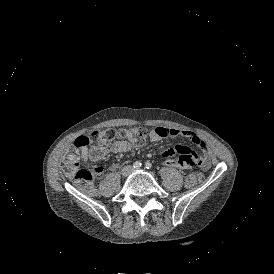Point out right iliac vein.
Segmentation results:
<instances>
[{
  "instance_id": "1",
  "label": "right iliac vein",
  "mask_w": 274,
  "mask_h": 274,
  "mask_svg": "<svg viewBox=\"0 0 274 274\" xmlns=\"http://www.w3.org/2000/svg\"><path fill=\"white\" fill-rule=\"evenodd\" d=\"M130 171H131V167L127 166V167L122 169L121 173H122L123 176L126 177L130 173Z\"/></svg>"
}]
</instances>
